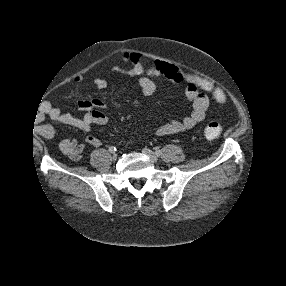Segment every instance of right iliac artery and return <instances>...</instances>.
I'll return each mask as SVG.
<instances>
[{
  "label": "right iliac artery",
  "mask_w": 286,
  "mask_h": 286,
  "mask_svg": "<svg viewBox=\"0 0 286 286\" xmlns=\"http://www.w3.org/2000/svg\"><path fill=\"white\" fill-rule=\"evenodd\" d=\"M109 151H110L111 153H113V152H115V151H116V148H115V147H113V146H111V147L109 148Z\"/></svg>",
  "instance_id": "1"
}]
</instances>
